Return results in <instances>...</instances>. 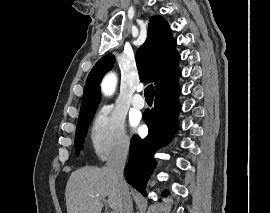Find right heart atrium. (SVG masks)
Listing matches in <instances>:
<instances>
[{
  "instance_id": "right-heart-atrium-1",
  "label": "right heart atrium",
  "mask_w": 270,
  "mask_h": 213,
  "mask_svg": "<svg viewBox=\"0 0 270 213\" xmlns=\"http://www.w3.org/2000/svg\"><path fill=\"white\" fill-rule=\"evenodd\" d=\"M89 140L100 160L127 154L131 144L121 112L110 105L100 107L92 119Z\"/></svg>"
}]
</instances>
